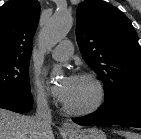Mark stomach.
Listing matches in <instances>:
<instances>
[{
	"label": "stomach",
	"mask_w": 141,
	"mask_h": 139,
	"mask_svg": "<svg viewBox=\"0 0 141 139\" xmlns=\"http://www.w3.org/2000/svg\"><path fill=\"white\" fill-rule=\"evenodd\" d=\"M69 139H107L105 133L95 127L77 129L75 132L67 133Z\"/></svg>",
	"instance_id": "0dacf381"
}]
</instances>
